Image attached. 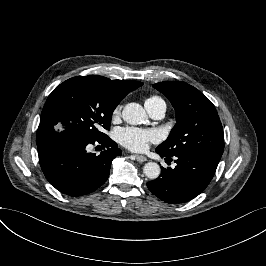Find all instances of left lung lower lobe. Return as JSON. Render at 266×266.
<instances>
[{
	"label": "left lung lower lobe",
	"mask_w": 266,
	"mask_h": 266,
	"mask_svg": "<svg viewBox=\"0 0 266 266\" xmlns=\"http://www.w3.org/2000/svg\"><path fill=\"white\" fill-rule=\"evenodd\" d=\"M166 160L171 156L156 149ZM174 169L163 168L160 176L147 183L148 189L169 204L188 202L199 195L213 178L220 159L201 152H183L173 156Z\"/></svg>",
	"instance_id": "left-lung-lower-lobe-1"
}]
</instances>
